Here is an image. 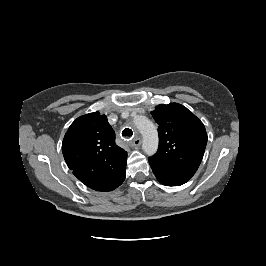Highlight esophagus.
Masks as SVG:
<instances>
[{"label":"esophagus","instance_id":"esophagus-1","mask_svg":"<svg viewBox=\"0 0 266 266\" xmlns=\"http://www.w3.org/2000/svg\"><path fill=\"white\" fill-rule=\"evenodd\" d=\"M132 145L135 147H138L141 145V139L140 138H135L132 142Z\"/></svg>","mask_w":266,"mask_h":266}]
</instances>
